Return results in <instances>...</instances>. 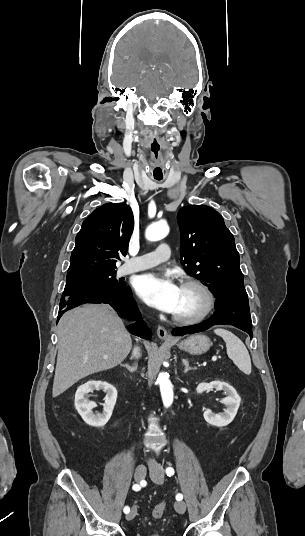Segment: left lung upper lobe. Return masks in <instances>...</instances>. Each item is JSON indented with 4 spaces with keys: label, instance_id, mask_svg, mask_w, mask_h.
Masks as SVG:
<instances>
[{
    "label": "left lung upper lobe",
    "instance_id": "obj_1",
    "mask_svg": "<svg viewBox=\"0 0 305 536\" xmlns=\"http://www.w3.org/2000/svg\"><path fill=\"white\" fill-rule=\"evenodd\" d=\"M177 220L185 271L210 286L217 299L247 296L239 253L223 217L209 206L190 205L179 210Z\"/></svg>",
    "mask_w": 305,
    "mask_h": 536
}]
</instances>
